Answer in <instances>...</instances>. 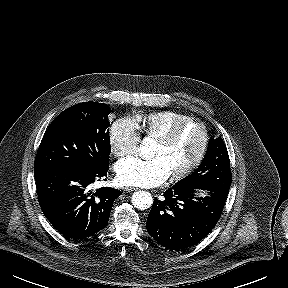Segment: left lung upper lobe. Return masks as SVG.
Segmentation results:
<instances>
[{"instance_id": "5c2ea615", "label": "left lung upper lobe", "mask_w": 288, "mask_h": 288, "mask_svg": "<svg viewBox=\"0 0 288 288\" xmlns=\"http://www.w3.org/2000/svg\"><path fill=\"white\" fill-rule=\"evenodd\" d=\"M231 180L229 155L222 138L219 137L209 140L207 152L197 170L176 184L198 187L227 196Z\"/></svg>"}]
</instances>
